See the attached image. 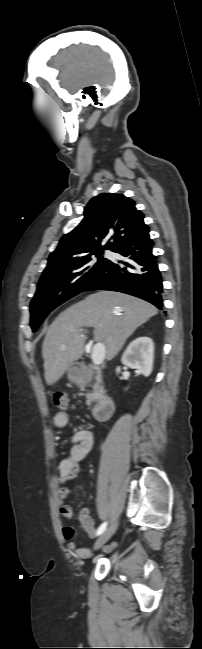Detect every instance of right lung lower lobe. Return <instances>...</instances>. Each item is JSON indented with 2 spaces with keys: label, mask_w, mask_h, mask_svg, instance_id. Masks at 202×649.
<instances>
[{
  "label": "right lung lower lobe",
  "mask_w": 202,
  "mask_h": 649,
  "mask_svg": "<svg viewBox=\"0 0 202 649\" xmlns=\"http://www.w3.org/2000/svg\"><path fill=\"white\" fill-rule=\"evenodd\" d=\"M152 246L148 228L119 243L112 251L127 257V261H108L85 291H119L144 299L162 310V278ZM118 263L125 267L121 268Z\"/></svg>",
  "instance_id": "98d812e1"
}]
</instances>
